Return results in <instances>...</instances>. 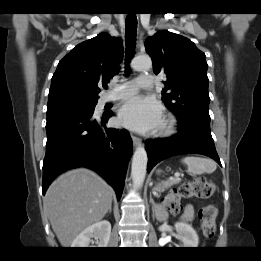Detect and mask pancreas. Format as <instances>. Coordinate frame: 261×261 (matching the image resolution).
Returning <instances> with one entry per match:
<instances>
[{
    "mask_svg": "<svg viewBox=\"0 0 261 261\" xmlns=\"http://www.w3.org/2000/svg\"><path fill=\"white\" fill-rule=\"evenodd\" d=\"M179 182V181H178ZM178 182H173V181H167L164 182L162 184H158L156 187H154V190L158 193L163 192L165 190V188L169 185V184H173V183H178Z\"/></svg>",
    "mask_w": 261,
    "mask_h": 261,
    "instance_id": "pancreas-1",
    "label": "pancreas"
}]
</instances>
